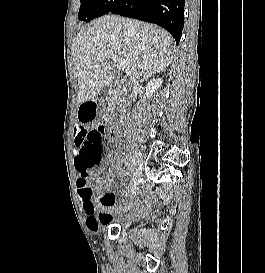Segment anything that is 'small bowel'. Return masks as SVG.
<instances>
[{
  "instance_id": "obj_1",
  "label": "small bowel",
  "mask_w": 265,
  "mask_h": 273,
  "mask_svg": "<svg viewBox=\"0 0 265 273\" xmlns=\"http://www.w3.org/2000/svg\"><path fill=\"white\" fill-rule=\"evenodd\" d=\"M97 113L95 109V103H80L79 111H78V122L80 124H74L75 129V145L77 141L76 136V129H89V124H82V123H94V114ZM74 165L75 169L78 174L77 179V191H78V199L82 210L86 216V226L87 228L95 232L99 230L101 227L107 226L112 221V211L115 209L116 211L119 210L117 208V201L116 196L113 193H104V194H93L92 190L90 194L84 193V186L82 181H85L89 184V180L93 181V189L94 192H99L104 187V181L100 178L99 172L92 173L88 172L85 176L83 171L79 168L78 162V154L76 147L74 148ZM111 164L115 169L121 168V162L117 158H113L111 160ZM123 171H127L125 168ZM132 191V188H131ZM135 192V191H134ZM132 191V193H134ZM141 203V197L136 196L133 198L129 203H127L126 208H134L137 207Z\"/></svg>"
}]
</instances>
